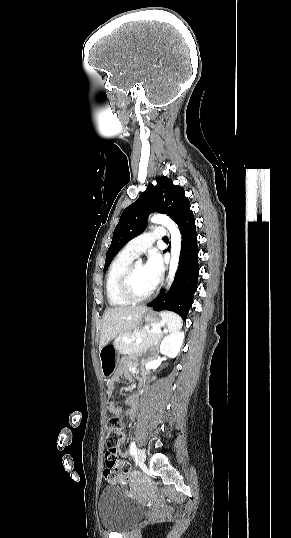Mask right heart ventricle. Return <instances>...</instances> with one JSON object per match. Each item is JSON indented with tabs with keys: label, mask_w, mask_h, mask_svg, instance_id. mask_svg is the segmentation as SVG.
<instances>
[{
	"label": "right heart ventricle",
	"mask_w": 291,
	"mask_h": 538,
	"mask_svg": "<svg viewBox=\"0 0 291 538\" xmlns=\"http://www.w3.org/2000/svg\"><path fill=\"white\" fill-rule=\"evenodd\" d=\"M134 258L133 255L123 249L111 262L106 277V295L112 306H127L131 303L121 295L119 290V280Z\"/></svg>",
	"instance_id": "right-heart-ventricle-1"
}]
</instances>
